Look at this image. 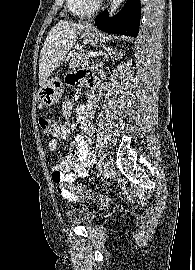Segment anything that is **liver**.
I'll list each match as a JSON object with an SVG mask.
<instances>
[{"label":"liver","mask_w":195,"mask_h":270,"mask_svg":"<svg viewBox=\"0 0 195 270\" xmlns=\"http://www.w3.org/2000/svg\"><path fill=\"white\" fill-rule=\"evenodd\" d=\"M88 23L59 21L49 31L39 59V85L42 87L60 65Z\"/></svg>","instance_id":"obj_1"}]
</instances>
